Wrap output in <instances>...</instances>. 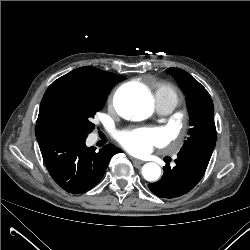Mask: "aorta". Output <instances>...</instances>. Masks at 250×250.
Instances as JSON below:
<instances>
[{"label":"aorta","mask_w":250,"mask_h":250,"mask_svg":"<svg viewBox=\"0 0 250 250\" xmlns=\"http://www.w3.org/2000/svg\"><path fill=\"white\" fill-rule=\"evenodd\" d=\"M115 108L124 118L146 119L153 111L150 92L142 84L127 83L115 96ZM142 174L147 181H155L160 177L161 169L156 163H146Z\"/></svg>","instance_id":"762f6f07"}]
</instances>
